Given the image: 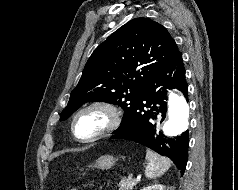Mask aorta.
<instances>
[{"mask_svg": "<svg viewBox=\"0 0 238 190\" xmlns=\"http://www.w3.org/2000/svg\"><path fill=\"white\" fill-rule=\"evenodd\" d=\"M190 107L183 95L171 92L168 99V120L163 126L166 136H176L188 128Z\"/></svg>", "mask_w": 238, "mask_h": 190, "instance_id": "obj_1", "label": "aorta"}]
</instances>
